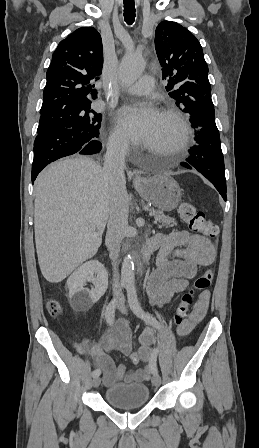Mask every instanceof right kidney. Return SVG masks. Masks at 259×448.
<instances>
[{
	"instance_id": "obj_1",
	"label": "right kidney",
	"mask_w": 259,
	"mask_h": 448,
	"mask_svg": "<svg viewBox=\"0 0 259 448\" xmlns=\"http://www.w3.org/2000/svg\"><path fill=\"white\" fill-rule=\"evenodd\" d=\"M94 274H97L96 278ZM86 282H93L94 288L92 290L83 288ZM66 286L69 288L71 308L75 312H87L95 302L100 300L101 296H104L108 288V274L101 262L89 260L71 274Z\"/></svg>"
}]
</instances>
